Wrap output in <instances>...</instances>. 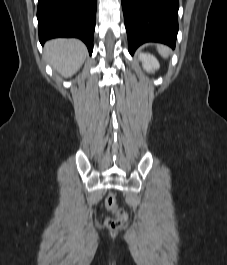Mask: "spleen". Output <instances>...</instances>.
I'll return each mask as SVG.
<instances>
[{
  "label": "spleen",
  "instance_id": "1",
  "mask_svg": "<svg viewBox=\"0 0 227 265\" xmlns=\"http://www.w3.org/2000/svg\"><path fill=\"white\" fill-rule=\"evenodd\" d=\"M157 50L160 53V55L163 56L164 58L168 57L170 53L169 48L164 45H157Z\"/></svg>",
  "mask_w": 227,
  "mask_h": 265
}]
</instances>
